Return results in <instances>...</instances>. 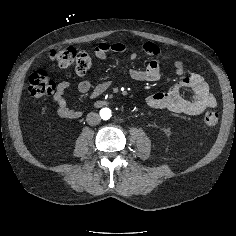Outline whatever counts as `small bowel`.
<instances>
[{
  "instance_id": "obj_1",
  "label": "small bowel",
  "mask_w": 236,
  "mask_h": 236,
  "mask_svg": "<svg viewBox=\"0 0 236 236\" xmlns=\"http://www.w3.org/2000/svg\"><path fill=\"white\" fill-rule=\"evenodd\" d=\"M145 53L151 56V60L144 69H129L130 77L135 81L153 82L159 79L161 71V61L159 60L160 49L151 42L146 41L142 45ZM110 52L127 54L130 60L137 58V52L130 49L121 42H100L94 50L96 58L104 62ZM166 64H171L175 73L181 76V79L166 93H155L146 98V104L155 109H165L176 114L198 115L209 108H214L217 104L215 97L210 93L209 87L204 78L198 73L185 75V66L180 60L167 58ZM110 86L109 81L98 84L92 91L94 96L103 94ZM70 89V83L62 81L58 84L54 95V103L58 115L62 118L73 119L81 115V112L70 108L67 105L65 94ZM92 84L89 80L84 79L79 82L78 90L87 94L91 91ZM190 89L193 97L186 99L182 96V90Z\"/></svg>"
}]
</instances>
